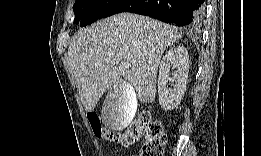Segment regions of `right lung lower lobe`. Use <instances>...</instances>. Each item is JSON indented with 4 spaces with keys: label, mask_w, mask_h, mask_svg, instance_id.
Masks as SVG:
<instances>
[{
    "label": "right lung lower lobe",
    "mask_w": 261,
    "mask_h": 156,
    "mask_svg": "<svg viewBox=\"0 0 261 156\" xmlns=\"http://www.w3.org/2000/svg\"><path fill=\"white\" fill-rule=\"evenodd\" d=\"M132 12L177 26L196 27L203 14V0H123L107 16Z\"/></svg>",
    "instance_id": "1"
}]
</instances>
